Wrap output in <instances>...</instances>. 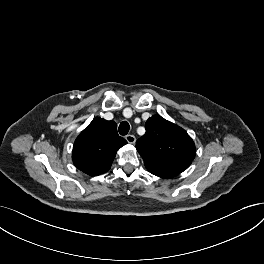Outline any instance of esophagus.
I'll return each instance as SVG.
<instances>
[{
  "instance_id": "34e87169",
  "label": "esophagus",
  "mask_w": 264,
  "mask_h": 264,
  "mask_svg": "<svg viewBox=\"0 0 264 264\" xmlns=\"http://www.w3.org/2000/svg\"><path fill=\"white\" fill-rule=\"evenodd\" d=\"M125 139H126V141H127L128 143H130V144H134L135 141H136L135 136H134V135H131V134L127 135V136L125 137Z\"/></svg>"
}]
</instances>
